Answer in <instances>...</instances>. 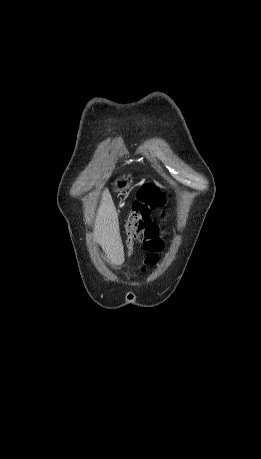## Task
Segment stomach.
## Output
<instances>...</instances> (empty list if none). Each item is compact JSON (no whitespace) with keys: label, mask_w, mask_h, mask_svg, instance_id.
<instances>
[{"label":"stomach","mask_w":261,"mask_h":459,"mask_svg":"<svg viewBox=\"0 0 261 459\" xmlns=\"http://www.w3.org/2000/svg\"><path fill=\"white\" fill-rule=\"evenodd\" d=\"M132 182L133 177L131 175H124L112 183L111 189L113 192L121 194L123 191L130 188Z\"/></svg>","instance_id":"stomach-1"}]
</instances>
